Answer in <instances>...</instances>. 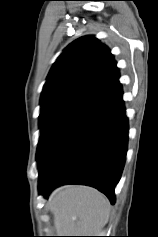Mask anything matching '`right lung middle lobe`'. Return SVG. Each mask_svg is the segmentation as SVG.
Wrapping results in <instances>:
<instances>
[{
  "label": "right lung middle lobe",
  "instance_id": "obj_1",
  "mask_svg": "<svg viewBox=\"0 0 158 237\" xmlns=\"http://www.w3.org/2000/svg\"><path fill=\"white\" fill-rule=\"evenodd\" d=\"M80 105H82L80 102L72 99H56L41 102L39 116L41 135L38 147L47 135Z\"/></svg>",
  "mask_w": 158,
  "mask_h": 237
}]
</instances>
